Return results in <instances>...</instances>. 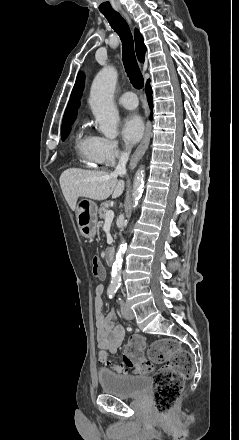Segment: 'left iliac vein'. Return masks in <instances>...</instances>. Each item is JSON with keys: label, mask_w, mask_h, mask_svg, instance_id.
<instances>
[{"label": "left iliac vein", "mask_w": 239, "mask_h": 440, "mask_svg": "<svg viewBox=\"0 0 239 440\" xmlns=\"http://www.w3.org/2000/svg\"><path fill=\"white\" fill-rule=\"evenodd\" d=\"M121 313H122V315H123V317L124 318H126V319H133L134 318V313H133V311L131 310V308L128 306V305H126V304H123L122 305V307H121Z\"/></svg>", "instance_id": "1"}]
</instances>
